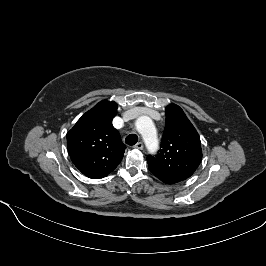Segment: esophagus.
<instances>
[{
    "mask_svg": "<svg viewBox=\"0 0 266 266\" xmlns=\"http://www.w3.org/2000/svg\"><path fill=\"white\" fill-rule=\"evenodd\" d=\"M136 149L142 150L144 148V145L142 142H138L135 146Z\"/></svg>",
    "mask_w": 266,
    "mask_h": 266,
    "instance_id": "esophagus-1",
    "label": "esophagus"
}]
</instances>
